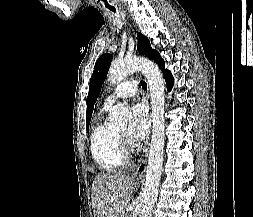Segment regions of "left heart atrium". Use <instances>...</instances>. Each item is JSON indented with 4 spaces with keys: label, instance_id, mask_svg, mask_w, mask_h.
Segmentation results:
<instances>
[{
    "label": "left heart atrium",
    "instance_id": "left-heart-atrium-1",
    "mask_svg": "<svg viewBox=\"0 0 253 217\" xmlns=\"http://www.w3.org/2000/svg\"><path fill=\"white\" fill-rule=\"evenodd\" d=\"M150 118L147 107L142 102L132 106V117L129 126V135L135 141H142L149 133Z\"/></svg>",
    "mask_w": 253,
    "mask_h": 217
}]
</instances>
